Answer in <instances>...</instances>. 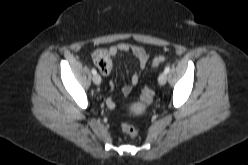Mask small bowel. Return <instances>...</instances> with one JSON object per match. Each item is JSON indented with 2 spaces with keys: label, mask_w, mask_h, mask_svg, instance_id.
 <instances>
[{
  "label": "small bowel",
  "mask_w": 248,
  "mask_h": 165,
  "mask_svg": "<svg viewBox=\"0 0 248 165\" xmlns=\"http://www.w3.org/2000/svg\"><path fill=\"white\" fill-rule=\"evenodd\" d=\"M119 53H130L132 54L136 60H137V70L133 73L131 76L130 82L128 84H124L121 86V91L124 95H128L131 93L134 86H136L139 82L140 75L142 71L144 70L149 55L146 52L144 48L137 45H132L125 42H119L116 44H113L108 49V54L110 56V59L118 55ZM112 69V61L110 63V66L106 69L101 71L104 75H109ZM114 87L113 82H110V89L112 90ZM107 104L109 107L113 108L115 106V103L112 99L107 100Z\"/></svg>",
  "instance_id": "c3829d8e"
}]
</instances>
